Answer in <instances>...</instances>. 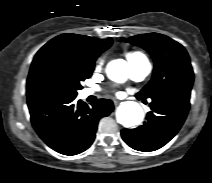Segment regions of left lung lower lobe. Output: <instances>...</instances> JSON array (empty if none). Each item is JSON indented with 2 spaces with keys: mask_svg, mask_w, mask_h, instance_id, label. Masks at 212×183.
<instances>
[{
  "mask_svg": "<svg viewBox=\"0 0 212 183\" xmlns=\"http://www.w3.org/2000/svg\"><path fill=\"white\" fill-rule=\"evenodd\" d=\"M151 99L147 122L121 131L123 140L138 151H154L168 143L180 130L190 108L189 93L162 94Z\"/></svg>",
  "mask_w": 212,
  "mask_h": 183,
  "instance_id": "0a47b994",
  "label": "left lung lower lobe"
}]
</instances>
